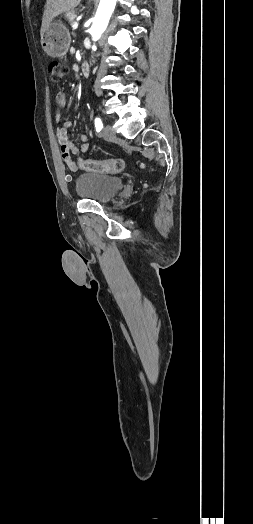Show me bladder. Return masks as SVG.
I'll return each mask as SVG.
<instances>
[{
    "label": "bladder",
    "instance_id": "obj_1",
    "mask_svg": "<svg viewBox=\"0 0 253 524\" xmlns=\"http://www.w3.org/2000/svg\"><path fill=\"white\" fill-rule=\"evenodd\" d=\"M121 177L98 173L80 174L75 183V190L79 197L97 203L109 202L123 187Z\"/></svg>",
    "mask_w": 253,
    "mask_h": 524
}]
</instances>
